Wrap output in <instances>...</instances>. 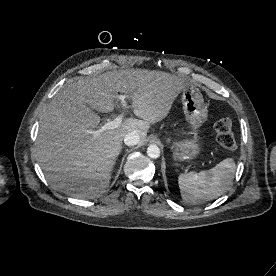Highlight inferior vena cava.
<instances>
[{
    "label": "inferior vena cava",
    "instance_id": "obj_1",
    "mask_svg": "<svg viewBox=\"0 0 276 276\" xmlns=\"http://www.w3.org/2000/svg\"><path fill=\"white\" fill-rule=\"evenodd\" d=\"M140 142V136L136 132H129L124 137V143L127 146H134Z\"/></svg>",
    "mask_w": 276,
    "mask_h": 276
}]
</instances>
